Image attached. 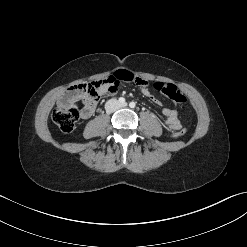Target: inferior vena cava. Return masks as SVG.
<instances>
[{"label": "inferior vena cava", "instance_id": "obj_1", "mask_svg": "<svg viewBox=\"0 0 247 247\" xmlns=\"http://www.w3.org/2000/svg\"><path fill=\"white\" fill-rule=\"evenodd\" d=\"M118 108H120V104L118 103L116 99H111L107 101V103L105 104V109L107 112H113L117 110Z\"/></svg>", "mask_w": 247, "mask_h": 247}]
</instances>
